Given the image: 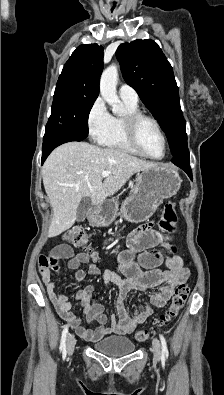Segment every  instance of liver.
Masks as SVG:
<instances>
[{"mask_svg":"<svg viewBox=\"0 0 224 395\" xmlns=\"http://www.w3.org/2000/svg\"><path fill=\"white\" fill-rule=\"evenodd\" d=\"M157 165L119 149L86 142L59 146L42 168L44 188L53 209L48 237L58 236L73 226L83 197H89L92 205H100L132 175ZM103 171L110 172L104 180Z\"/></svg>","mask_w":224,"mask_h":395,"instance_id":"obj_1","label":"liver"}]
</instances>
